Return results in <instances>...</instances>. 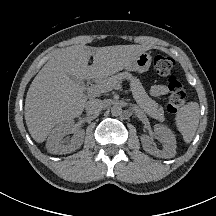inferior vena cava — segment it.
Masks as SVG:
<instances>
[{
	"instance_id": "602c4592",
	"label": "inferior vena cava",
	"mask_w": 216,
	"mask_h": 216,
	"mask_svg": "<svg viewBox=\"0 0 216 216\" xmlns=\"http://www.w3.org/2000/svg\"><path fill=\"white\" fill-rule=\"evenodd\" d=\"M85 107L89 114H98L103 109L104 103L100 99H91L86 103Z\"/></svg>"
}]
</instances>
